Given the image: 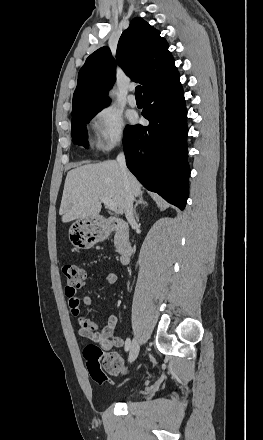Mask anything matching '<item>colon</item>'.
Instances as JSON below:
<instances>
[{
	"label": "colon",
	"instance_id": "1",
	"mask_svg": "<svg viewBox=\"0 0 263 440\" xmlns=\"http://www.w3.org/2000/svg\"><path fill=\"white\" fill-rule=\"evenodd\" d=\"M63 273L70 287H78L85 281V270L76 264H65ZM84 358L90 377L98 384L109 380L108 375H123L127 372L126 365L121 356L116 352L104 353L94 344L85 347Z\"/></svg>",
	"mask_w": 263,
	"mask_h": 440
}]
</instances>
